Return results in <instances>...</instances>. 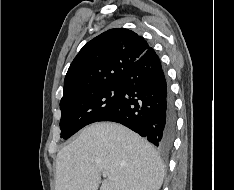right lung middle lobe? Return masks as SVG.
Here are the masks:
<instances>
[{
    "label": "right lung middle lobe",
    "instance_id": "dd1d6c3e",
    "mask_svg": "<svg viewBox=\"0 0 234 190\" xmlns=\"http://www.w3.org/2000/svg\"><path fill=\"white\" fill-rule=\"evenodd\" d=\"M118 83L79 93L60 102L61 138L67 139L84 126L97 122L115 105L120 95Z\"/></svg>",
    "mask_w": 234,
    "mask_h": 190
}]
</instances>
